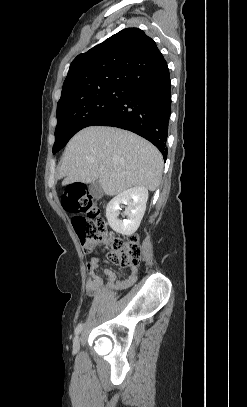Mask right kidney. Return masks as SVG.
<instances>
[{"mask_svg":"<svg viewBox=\"0 0 247 407\" xmlns=\"http://www.w3.org/2000/svg\"><path fill=\"white\" fill-rule=\"evenodd\" d=\"M148 190L142 186H136L115 196L106 207V218L110 227L119 234L131 235L139 227L146 210ZM127 205L124 215L125 220H119L120 205Z\"/></svg>","mask_w":247,"mask_h":407,"instance_id":"right-kidney-1","label":"right kidney"}]
</instances>
